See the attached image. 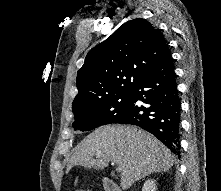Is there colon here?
<instances>
[{"mask_svg":"<svg viewBox=\"0 0 221 191\" xmlns=\"http://www.w3.org/2000/svg\"><path fill=\"white\" fill-rule=\"evenodd\" d=\"M77 191H86V190H77Z\"/></svg>","mask_w":221,"mask_h":191,"instance_id":"colon-1","label":"colon"}]
</instances>
